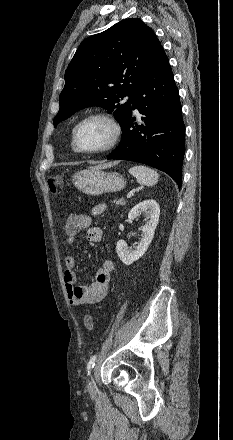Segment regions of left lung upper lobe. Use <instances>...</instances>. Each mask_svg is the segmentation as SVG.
Wrapping results in <instances>:
<instances>
[{"label": "left lung upper lobe", "mask_w": 233, "mask_h": 440, "mask_svg": "<svg viewBox=\"0 0 233 440\" xmlns=\"http://www.w3.org/2000/svg\"><path fill=\"white\" fill-rule=\"evenodd\" d=\"M163 51L152 29L138 18L85 39L66 69L54 126L84 107L100 106L113 112L123 128L135 92ZM126 96L127 102L120 103Z\"/></svg>", "instance_id": "5c2ea615"}]
</instances>
